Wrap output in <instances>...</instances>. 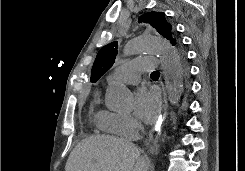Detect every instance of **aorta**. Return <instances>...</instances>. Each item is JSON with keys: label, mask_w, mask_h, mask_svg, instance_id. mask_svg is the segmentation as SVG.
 I'll use <instances>...</instances> for the list:
<instances>
[{"label": "aorta", "mask_w": 245, "mask_h": 171, "mask_svg": "<svg viewBox=\"0 0 245 171\" xmlns=\"http://www.w3.org/2000/svg\"><path fill=\"white\" fill-rule=\"evenodd\" d=\"M125 55L154 53L161 62L166 87L171 103H176L182 93L181 67H176L179 57L169 42L152 36H139L129 40ZM133 105V94L123 84L114 83L106 90V106L114 111H129Z\"/></svg>", "instance_id": "1"}]
</instances>
